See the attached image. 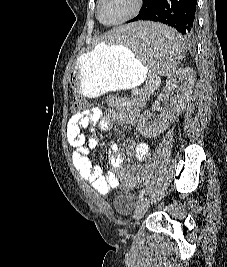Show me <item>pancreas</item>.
<instances>
[{
	"mask_svg": "<svg viewBox=\"0 0 227 267\" xmlns=\"http://www.w3.org/2000/svg\"><path fill=\"white\" fill-rule=\"evenodd\" d=\"M151 87H153V84H152V85H150V88H151Z\"/></svg>",
	"mask_w": 227,
	"mask_h": 267,
	"instance_id": "obj_1",
	"label": "pancreas"
}]
</instances>
